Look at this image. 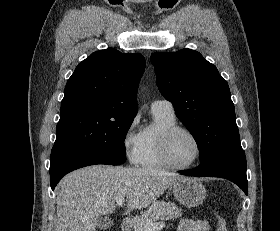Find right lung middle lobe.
<instances>
[{
	"instance_id": "obj_1",
	"label": "right lung middle lobe",
	"mask_w": 280,
	"mask_h": 231,
	"mask_svg": "<svg viewBox=\"0 0 280 231\" xmlns=\"http://www.w3.org/2000/svg\"><path fill=\"white\" fill-rule=\"evenodd\" d=\"M133 119L100 116L59 120L54 147H75L124 163V140Z\"/></svg>"
}]
</instances>
